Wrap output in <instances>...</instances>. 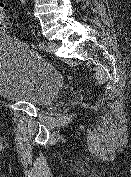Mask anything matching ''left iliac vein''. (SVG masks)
Instances as JSON below:
<instances>
[{"label":"left iliac vein","instance_id":"4c4485c4","mask_svg":"<svg viewBox=\"0 0 131 177\" xmlns=\"http://www.w3.org/2000/svg\"><path fill=\"white\" fill-rule=\"evenodd\" d=\"M57 48H58L57 43L50 41V42L47 43L46 51L50 52V53H55Z\"/></svg>","mask_w":131,"mask_h":177}]
</instances>
